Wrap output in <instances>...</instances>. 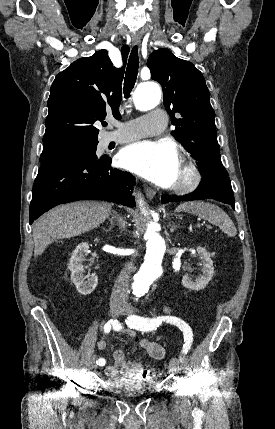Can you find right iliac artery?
I'll use <instances>...</instances> for the list:
<instances>
[{
	"label": "right iliac artery",
	"mask_w": 275,
	"mask_h": 429,
	"mask_svg": "<svg viewBox=\"0 0 275 429\" xmlns=\"http://www.w3.org/2000/svg\"><path fill=\"white\" fill-rule=\"evenodd\" d=\"M112 326H113V328L114 329H119V324H118V322H117V320H110V321H108L105 325H104V331L106 332V333H109L110 332V330H111V328H112ZM105 363H106V361H105V359L104 358H99L98 359V361H97V365H99V366H104L105 365Z\"/></svg>",
	"instance_id": "82829eb1"
}]
</instances>
